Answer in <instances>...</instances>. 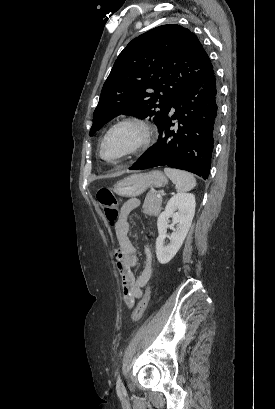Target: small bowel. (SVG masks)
Here are the masks:
<instances>
[{
    "label": "small bowel",
    "mask_w": 275,
    "mask_h": 409,
    "mask_svg": "<svg viewBox=\"0 0 275 409\" xmlns=\"http://www.w3.org/2000/svg\"><path fill=\"white\" fill-rule=\"evenodd\" d=\"M138 199L128 200L121 210V217L115 225V235L118 243L116 257L112 258L117 263V268L122 277L123 301L131 306L135 299L142 297L143 289L148 284L152 275V254L149 246H145L143 253L146 265L139 276H136L133 267L137 263L136 248L130 238V215L138 206Z\"/></svg>",
    "instance_id": "obj_1"
}]
</instances>
